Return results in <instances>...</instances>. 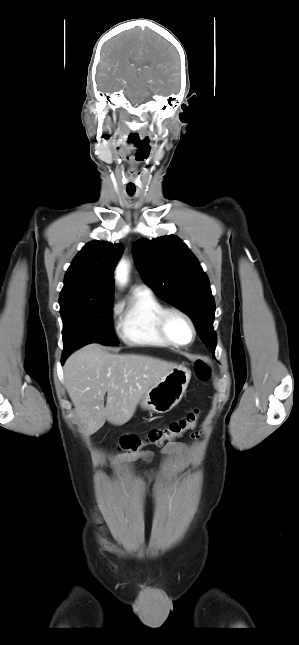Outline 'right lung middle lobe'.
Listing matches in <instances>:
<instances>
[{
  "label": "right lung middle lobe",
  "instance_id": "dd1d6c3e",
  "mask_svg": "<svg viewBox=\"0 0 299 645\" xmlns=\"http://www.w3.org/2000/svg\"><path fill=\"white\" fill-rule=\"evenodd\" d=\"M112 299L68 300L60 303L63 321L62 358L88 343L117 345L112 328Z\"/></svg>",
  "mask_w": 299,
  "mask_h": 645
}]
</instances>
